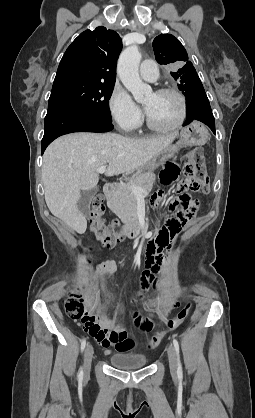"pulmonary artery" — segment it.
<instances>
[{
    "instance_id": "e3ab8cb5",
    "label": "pulmonary artery",
    "mask_w": 255,
    "mask_h": 418,
    "mask_svg": "<svg viewBox=\"0 0 255 418\" xmlns=\"http://www.w3.org/2000/svg\"><path fill=\"white\" fill-rule=\"evenodd\" d=\"M139 73L146 81H156L158 78V68L156 63L152 60L143 61L140 65Z\"/></svg>"
}]
</instances>
